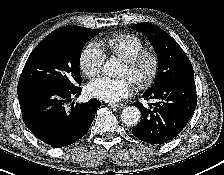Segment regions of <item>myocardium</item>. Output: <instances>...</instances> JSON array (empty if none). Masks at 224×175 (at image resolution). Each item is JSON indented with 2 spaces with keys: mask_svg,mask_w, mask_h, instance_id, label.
<instances>
[{
  "mask_svg": "<svg viewBox=\"0 0 224 175\" xmlns=\"http://www.w3.org/2000/svg\"><path fill=\"white\" fill-rule=\"evenodd\" d=\"M125 65L130 74L136 75L134 83L138 88L144 89L152 85L155 81L159 67L160 60L156 53L143 50L131 59L125 60ZM147 66L144 75H138L143 66Z\"/></svg>",
  "mask_w": 224,
  "mask_h": 175,
  "instance_id": "f54148a6",
  "label": "myocardium"
}]
</instances>
